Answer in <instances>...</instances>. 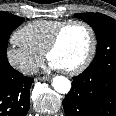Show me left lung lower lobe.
<instances>
[{"label": "left lung lower lobe", "mask_w": 116, "mask_h": 116, "mask_svg": "<svg viewBox=\"0 0 116 116\" xmlns=\"http://www.w3.org/2000/svg\"><path fill=\"white\" fill-rule=\"evenodd\" d=\"M63 108L66 116H116V63L73 77Z\"/></svg>", "instance_id": "1"}]
</instances>
